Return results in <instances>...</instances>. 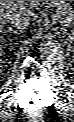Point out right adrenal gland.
<instances>
[{"label": "right adrenal gland", "mask_w": 74, "mask_h": 122, "mask_svg": "<svg viewBox=\"0 0 74 122\" xmlns=\"http://www.w3.org/2000/svg\"><path fill=\"white\" fill-rule=\"evenodd\" d=\"M5 32L14 33V34H20V33H22L20 31L14 30L12 28H9L8 30H5Z\"/></svg>", "instance_id": "1"}]
</instances>
